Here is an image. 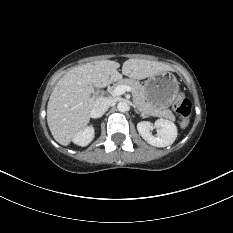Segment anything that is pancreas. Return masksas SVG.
<instances>
[{
  "instance_id": "1",
  "label": "pancreas",
  "mask_w": 233,
  "mask_h": 233,
  "mask_svg": "<svg viewBox=\"0 0 233 233\" xmlns=\"http://www.w3.org/2000/svg\"><path fill=\"white\" fill-rule=\"evenodd\" d=\"M120 85L129 86L131 88L133 102L135 106L138 108V110L142 112L143 114L152 115L156 117H163V118H167L169 120L175 121V116L171 110L169 109L162 110V109L156 108L150 105L146 101L144 87L138 81H135L133 79H122L118 81L115 84V86L112 87L111 93L117 86H120Z\"/></svg>"
}]
</instances>
